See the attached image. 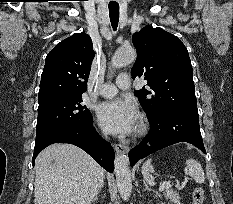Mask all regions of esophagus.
Segmentation results:
<instances>
[{
    "instance_id": "1",
    "label": "esophagus",
    "mask_w": 233,
    "mask_h": 204,
    "mask_svg": "<svg viewBox=\"0 0 233 204\" xmlns=\"http://www.w3.org/2000/svg\"><path fill=\"white\" fill-rule=\"evenodd\" d=\"M114 149L117 153L127 154L129 152V147L123 144H115Z\"/></svg>"
}]
</instances>
